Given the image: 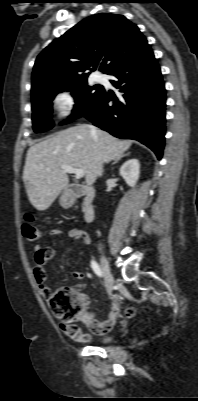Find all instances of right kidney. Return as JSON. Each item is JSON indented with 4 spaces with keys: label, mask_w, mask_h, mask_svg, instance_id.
<instances>
[{
    "label": "right kidney",
    "mask_w": 198,
    "mask_h": 401,
    "mask_svg": "<svg viewBox=\"0 0 198 401\" xmlns=\"http://www.w3.org/2000/svg\"><path fill=\"white\" fill-rule=\"evenodd\" d=\"M140 174V163L138 159H130L120 167V175L127 185L134 187Z\"/></svg>",
    "instance_id": "obj_1"
}]
</instances>
